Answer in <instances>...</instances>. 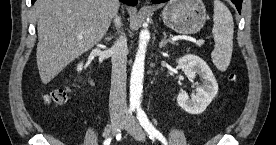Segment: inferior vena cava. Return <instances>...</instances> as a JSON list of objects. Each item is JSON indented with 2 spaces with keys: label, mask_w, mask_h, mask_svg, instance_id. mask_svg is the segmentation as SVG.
Instances as JSON below:
<instances>
[{
  "label": "inferior vena cava",
  "mask_w": 276,
  "mask_h": 145,
  "mask_svg": "<svg viewBox=\"0 0 276 145\" xmlns=\"http://www.w3.org/2000/svg\"><path fill=\"white\" fill-rule=\"evenodd\" d=\"M115 25L121 26V19L116 15ZM112 75L109 96V111L111 116L124 115L127 111L126 104V64H127V39L124 34L112 46Z\"/></svg>",
  "instance_id": "inferior-vena-cava-1"
}]
</instances>
